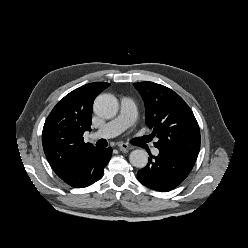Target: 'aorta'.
<instances>
[{"mask_svg": "<svg viewBox=\"0 0 248 248\" xmlns=\"http://www.w3.org/2000/svg\"><path fill=\"white\" fill-rule=\"evenodd\" d=\"M119 104L115 96L101 94L94 102V110L97 115L103 118H112L118 112ZM130 163L137 168H144L148 163V155L144 150H134L129 155Z\"/></svg>", "mask_w": 248, "mask_h": 248, "instance_id": "762f6f07", "label": "aorta"}]
</instances>
